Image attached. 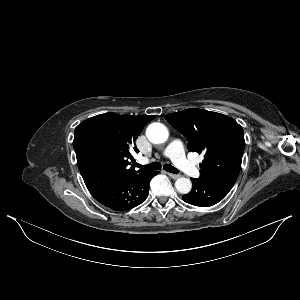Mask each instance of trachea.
<instances>
[{
  "mask_svg": "<svg viewBox=\"0 0 300 300\" xmlns=\"http://www.w3.org/2000/svg\"><path fill=\"white\" fill-rule=\"evenodd\" d=\"M136 167H139L143 170H147V171H155V170H159L161 168V163L159 162H153L147 165H141L139 163H135ZM164 170H166L167 172L173 173V174H177L179 173V170H177L175 167H173L170 164H164L163 166Z\"/></svg>",
  "mask_w": 300,
  "mask_h": 300,
  "instance_id": "1",
  "label": "trachea"
}]
</instances>
